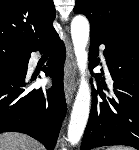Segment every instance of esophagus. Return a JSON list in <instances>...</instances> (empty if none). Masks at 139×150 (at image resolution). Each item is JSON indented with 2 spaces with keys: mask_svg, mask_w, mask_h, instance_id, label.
<instances>
[{
  "mask_svg": "<svg viewBox=\"0 0 139 150\" xmlns=\"http://www.w3.org/2000/svg\"><path fill=\"white\" fill-rule=\"evenodd\" d=\"M76 63L73 54L72 44L66 40V67H65V97L68 105L72 102L76 89L74 72Z\"/></svg>",
  "mask_w": 139,
  "mask_h": 150,
  "instance_id": "34e87169",
  "label": "esophagus"
}]
</instances>
